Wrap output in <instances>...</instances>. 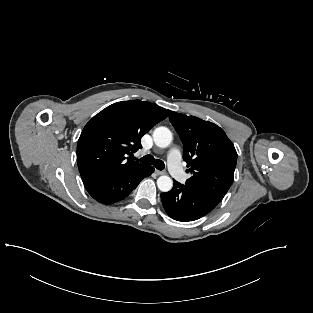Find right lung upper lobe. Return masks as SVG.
<instances>
[{"label":"right lung upper lobe","instance_id":"1","mask_svg":"<svg viewBox=\"0 0 313 313\" xmlns=\"http://www.w3.org/2000/svg\"><path fill=\"white\" fill-rule=\"evenodd\" d=\"M170 110L140 100L114 103L84 127L77 144L83 183L142 168L127 155L141 148V137L169 115Z\"/></svg>","mask_w":313,"mask_h":313}]
</instances>
